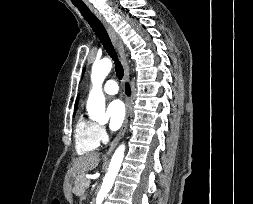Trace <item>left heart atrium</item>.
<instances>
[{"instance_id":"left-heart-atrium-1","label":"left heart atrium","mask_w":253,"mask_h":204,"mask_svg":"<svg viewBox=\"0 0 253 204\" xmlns=\"http://www.w3.org/2000/svg\"><path fill=\"white\" fill-rule=\"evenodd\" d=\"M107 114L110 129L113 131L118 130L123 124L126 115L123 103L118 99L111 101L107 106Z\"/></svg>"}]
</instances>
